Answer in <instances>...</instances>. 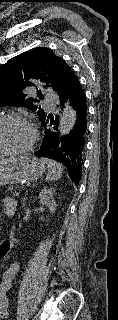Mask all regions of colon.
I'll list each match as a JSON object with an SVG mask.
<instances>
[{
  "label": "colon",
  "instance_id": "1",
  "mask_svg": "<svg viewBox=\"0 0 118 320\" xmlns=\"http://www.w3.org/2000/svg\"><path fill=\"white\" fill-rule=\"evenodd\" d=\"M12 240L4 239L0 244V258L5 257L11 247Z\"/></svg>",
  "mask_w": 118,
  "mask_h": 320
}]
</instances>
